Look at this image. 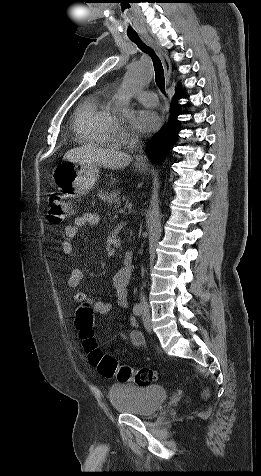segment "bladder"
I'll return each mask as SVG.
<instances>
[{
	"label": "bladder",
	"mask_w": 261,
	"mask_h": 476,
	"mask_svg": "<svg viewBox=\"0 0 261 476\" xmlns=\"http://www.w3.org/2000/svg\"><path fill=\"white\" fill-rule=\"evenodd\" d=\"M109 400L118 412L136 416H149L164 404L167 393L159 385L119 383L109 389Z\"/></svg>",
	"instance_id": "1"
}]
</instances>
